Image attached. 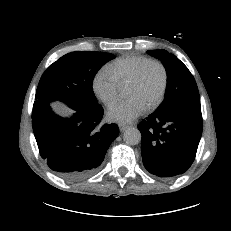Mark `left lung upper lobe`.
Instances as JSON below:
<instances>
[{
  "mask_svg": "<svg viewBox=\"0 0 231 231\" xmlns=\"http://www.w3.org/2000/svg\"><path fill=\"white\" fill-rule=\"evenodd\" d=\"M147 53L160 59L167 73L165 100L155 113L176 111L186 105H200L197 84L183 62L166 50H149Z\"/></svg>",
  "mask_w": 231,
  "mask_h": 231,
  "instance_id": "obj_1",
  "label": "left lung upper lobe"
}]
</instances>
